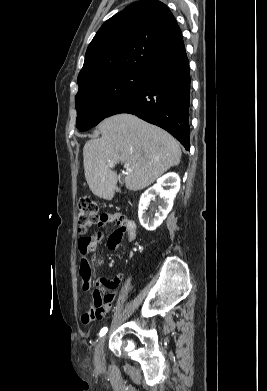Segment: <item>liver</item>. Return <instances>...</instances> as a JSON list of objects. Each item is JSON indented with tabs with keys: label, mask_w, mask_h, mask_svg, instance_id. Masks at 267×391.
<instances>
[{
	"label": "liver",
	"mask_w": 267,
	"mask_h": 391,
	"mask_svg": "<svg viewBox=\"0 0 267 391\" xmlns=\"http://www.w3.org/2000/svg\"><path fill=\"white\" fill-rule=\"evenodd\" d=\"M98 131L101 138L87 141L83 148V163L87 184L100 198L112 199L118 181L109 162L129 164L131 171L124 181L131 191L148 187L180 163L176 139L135 115L110 116L98 125Z\"/></svg>",
	"instance_id": "liver-1"
}]
</instances>
